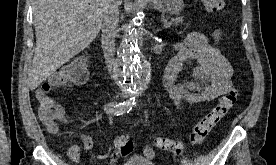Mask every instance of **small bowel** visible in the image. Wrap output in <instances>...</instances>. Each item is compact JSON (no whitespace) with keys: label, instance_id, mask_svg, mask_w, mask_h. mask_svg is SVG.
Returning <instances> with one entry per match:
<instances>
[{"label":"small bowel","instance_id":"c3829d8e","mask_svg":"<svg viewBox=\"0 0 276 165\" xmlns=\"http://www.w3.org/2000/svg\"><path fill=\"white\" fill-rule=\"evenodd\" d=\"M174 55L169 59L163 77L164 88L176 107L184 103L199 104L212 101L233 89V68L220 49L213 45L208 37L201 32L189 33L183 42L174 48ZM194 60L197 66L193 71V80L177 83L176 77L184 62ZM80 140L86 151L93 146L92 139L80 134ZM80 149H70L72 159H78ZM149 155V151H147ZM119 155H111L110 165H114Z\"/></svg>","mask_w":276,"mask_h":165}]
</instances>
